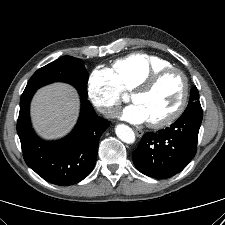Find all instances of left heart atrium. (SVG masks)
Masks as SVG:
<instances>
[{"mask_svg": "<svg viewBox=\"0 0 225 225\" xmlns=\"http://www.w3.org/2000/svg\"><path fill=\"white\" fill-rule=\"evenodd\" d=\"M122 118L128 122L141 124L147 122V116L142 107L136 103L127 106L122 114Z\"/></svg>", "mask_w": 225, "mask_h": 225, "instance_id": "left-heart-atrium-1", "label": "left heart atrium"}]
</instances>
